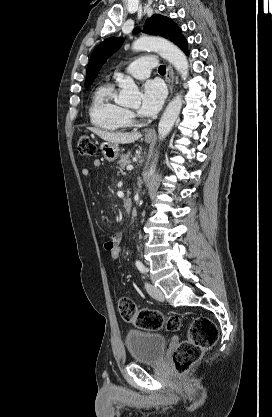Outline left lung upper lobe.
Returning a JSON list of instances; mask_svg holds the SVG:
<instances>
[{
  "label": "left lung upper lobe",
  "instance_id": "5c2ea615",
  "mask_svg": "<svg viewBox=\"0 0 272 417\" xmlns=\"http://www.w3.org/2000/svg\"><path fill=\"white\" fill-rule=\"evenodd\" d=\"M138 30H134V33ZM143 32L150 35H160L168 38L183 51L187 49V41L181 33V29L169 18L162 15H153L147 20ZM122 44L120 38H108L100 43L91 54L86 71L85 86H89L95 79L98 71L106 60L116 52Z\"/></svg>",
  "mask_w": 272,
  "mask_h": 417
}]
</instances>
